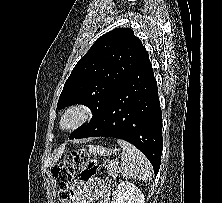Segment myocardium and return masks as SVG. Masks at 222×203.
<instances>
[{"label": "myocardium", "mask_w": 222, "mask_h": 203, "mask_svg": "<svg viewBox=\"0 0 222 203\" xmlns=\"http://www.w3.org/2000/svg\"><path fill=\"white\" fill-rule=\"evenodd\" d=\"M93 116L94 112L91 107L84 104H74L67 107L60 116L59 127L63 131L71 132L87 124ZM70 117H75V121L66 125V121Z\"/></svg>", "instance_id": "myocardium-1"}]
</instances>
